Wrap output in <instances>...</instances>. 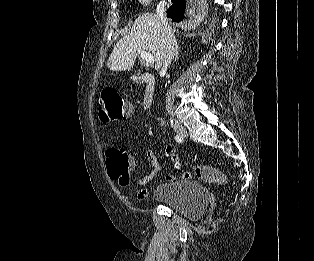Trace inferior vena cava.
<instances>
[{"instance_id":"602c4592","label":"inferior vena cava","mask_w":314,"mask_h":261,"mask_svg":"<svg viewBox=\"0 0 314 261\" xmlns=\"http://www.w3.org/2000/svg\"><path fill=\"white\" fill-rule=\"evenodd\" d=\"M166 2L165 0L161 1L156 8V13L161 20L163 35H164V48H163V56H162V65L163 67H168L172 62L176 50H177V41L175 39L172 28L168 24L166 17Z\"/></svg>"}]
</instances>
